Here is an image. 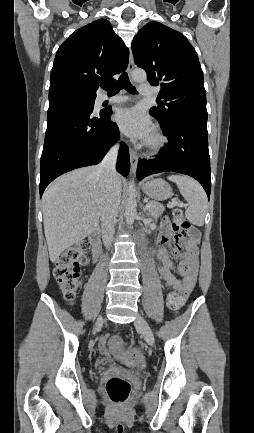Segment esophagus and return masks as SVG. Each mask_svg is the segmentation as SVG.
<instances>
[{
	"label": "esophagus",
	"mask_w": 254,
	"mask_h": 433,
	"mask_svg": "<svg viewBox=\"0 0 254 433\" xmlns=\"http://www.w3.org/2000/svg\"><path fill=\"white\" fill-rule=\"evenodd\" d=\"M133 69H134V59H133L132 52L130 51L129 63L127 67V72L129 73V75L132 73ZM129 155H130V163H131V172L135 173L138 164V153L135 150L130 148Z\"/></svg>",
	"instance_id": "1"
}]
</instances>
